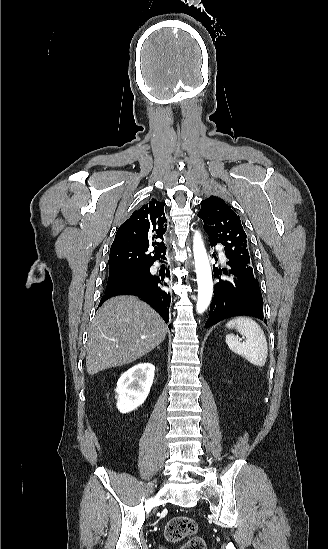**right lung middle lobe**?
Masks as SVG:
<instances>
[{
    "mask_svg": "<svg viewBox=\"0 0 328 549\" xmlns=\"http://www.w3.org/2000/svg\"><path fill=\"white\" fill-rule=\"evenodd\" d=\"M150 276L149 269H134L109 274L106 291L113 290L125 284L146 281Z\"/></svg>",
    "mask_w": 328,
    "mask_h": 549,
    "instance_id": "dd1d6c3e",
    "label": "right lung middle lobe"
}]
</instances>
